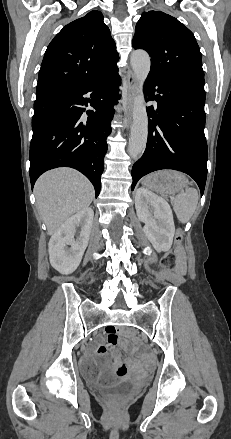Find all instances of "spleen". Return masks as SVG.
I'll return each instance as SVG.
<instances>
[{"label": "spleen", "mask_w": 231, "mask_h": 439, "mask_svg": "<svg viewBox=\"0 0 231 439\" xmlns=\"http://www.w3.org/2000/svg\"><path fill=\"white\" fill-rule=\"evenodd\" d=\"M198 192L195 188H186L185 191L182 190L172 202L173 210L182 223L188 222L198 204Z\"/></svg>", "instance_id": "obj_1"}]
</instances>
